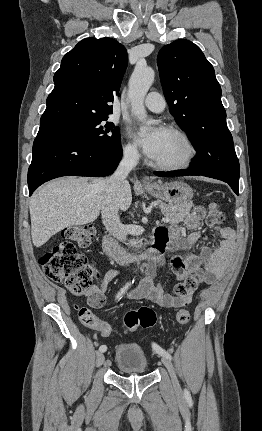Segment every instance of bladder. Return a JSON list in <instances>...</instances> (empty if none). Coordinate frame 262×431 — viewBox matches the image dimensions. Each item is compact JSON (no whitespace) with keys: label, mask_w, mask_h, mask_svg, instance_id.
I'll use <instances>...</instances> for the list:
<instances>
[{"label":"bladder","mask_w":262,"mask_h":431,"mask_svg":"<svg viewBox=\"0 0 262 431\" xmlns=\"http://www.w3.org/2000/svg\"><path fill=\"white\" fill-rule=\"evenodd\" d=\"M117 367L127 373H144L147 370V357L137 344H119L115 350Z\"/></svg>","instance_id":"31cf9c89"}]
</instances>
